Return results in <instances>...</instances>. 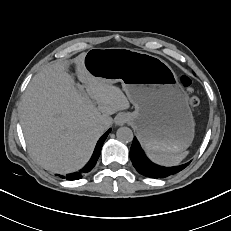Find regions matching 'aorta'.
I'll return each instance as SVG.
<instances>
[{
	"instance_id": "1",
	"label": "aorta",
	"mask_w": 231,
	"mask_h": 231,
	"mask_svg": "<svg viewBox=\"0 0 231 231\" xmlns=\"http://www.w3.org/2000/svg\"><path fill=\"white\" fill-rule=\"evenodd\" d=\"M117 138L123 143H130L133 140V132L128 127H120L116 132Z\"/></svg>"
}]
</instances>
